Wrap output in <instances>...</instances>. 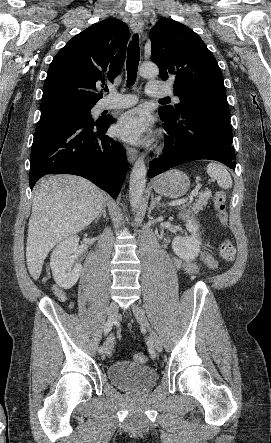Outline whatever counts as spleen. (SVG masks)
Here are the masks:
<instances>
[{
  "label": "spleen",
  "mask_w": 271,
  "mask_h": 443,
  "mask_svg": "<svg viewBox=\"0 0 271 443\" xmlns=\"http://www.w3.org/2000/svg\"><path fill=\"white\" fill-rule=\"evenodd\" d=\"M206 170L210 178H214V180H217V184L218 186H220V188H224V190H228V188H231V176L229 172L225 170L224 166H220V164H216V162H211V164H208Z\"/></svg>",
  "instance_id": "spleen-1"
}]
</instances>
